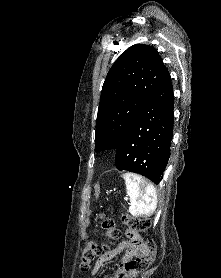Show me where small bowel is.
<instances>
[{"label": "small bowel", "mask_w": 221, "mask_h": 278, "mask_svg": "<svg viewBox=\"0 0 221 278\" xmlns=\"http://www.w3.org/2000/svg\"><path fill=\"white\" fill-rule=\"evenodd\" d=\"M128 240L121 242L116 248L102 254L95 262L92 269V275H96L100 269L107 263L114 260L118 255L123 254L121 258V267L129 262L133 257L142 253L143 243L140 235L130 229L127 230ZM108 278H121L120 273L112 274Z\"/></svg>", "instance_id": "small-bowel-1"}]
</instances>
